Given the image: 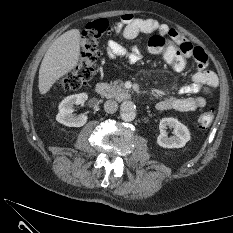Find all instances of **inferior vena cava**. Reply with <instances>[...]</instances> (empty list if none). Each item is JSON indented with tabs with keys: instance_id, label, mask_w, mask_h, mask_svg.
Returning <instances> with one entry per match:
<instances>
[{
	"instance_id": "602c4592",
	"label": "inferior vena cava",
	"mask_w": 233,
	"mask_h": 233,
	"mask_svg": "<svg viewBox=\"0 0 233 233\" xmlns=\"http://www.w3.org/2000/svg\"><path fill=\"white\" fill-rule=\"evenodd\" d=\"M117 109H118V104L115 100H107L104 103V110L107 113L113 114L117 111Z\"/></svg>"
}]
</instances>
